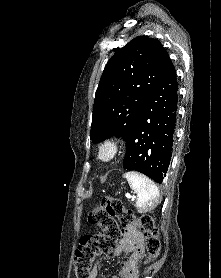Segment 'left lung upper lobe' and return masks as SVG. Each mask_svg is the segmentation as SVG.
<instances>
[{
	"label": "left lung upper lobe",
	"mask_w": 221,
	"mask_h": 278,
	"mask_svg": "<svg viewBox=\"0 0 221 278\" xmlns=\"http://www.w3.org/2000/svg\"><path fill=\"white\" fill-rule=\"evenodd\" d=\"M170 58L162 44L148 36L131 40L105 66L93 107L90 138L126 140Z\"/></svg>",
	"instance_id": "5c2ea615"
}]
</instances>
